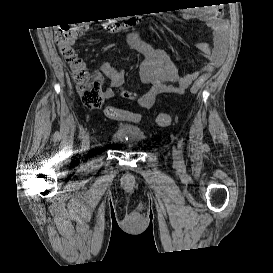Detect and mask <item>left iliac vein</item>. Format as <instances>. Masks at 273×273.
I'll return each instance as SVG.
<instances>
[{"label": "left iliac vein", "instance_id": "1", "mask_svg": "<svg viewBox=\"0 0 273 273\" xmlns=\"http://www.w3.org/2000/svg\"><path fill=\"white\" fill-rule=\"evenodd\" d=\"M172 157H173V160H174L175 162H178L179 156H178V153H177L175 147H173V150H172Z\"/></svg>", "mask_w": 273, "mask_h": 273}]
</instances>
